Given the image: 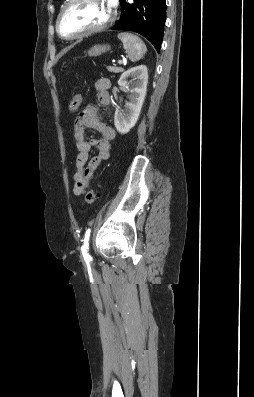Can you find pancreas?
Segmentation results:
<instances>
[{
	"mask_svg": "<svg viewBox=\"0 0 254 397\" xmlns=\"http://www.w3.org/2000/svg\"><path fill=\"white\" fill-rule=\"evenodd\" d=\"M107 69H108V71L113 72V73H121L124 71V69L121 67H113V66H108Z\"/></svg>",
	"mask_w": 254,
	"mask_h": 397,
	"instance_id": "1",
	"label": "pancreas"
}]
</instances>
